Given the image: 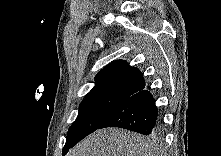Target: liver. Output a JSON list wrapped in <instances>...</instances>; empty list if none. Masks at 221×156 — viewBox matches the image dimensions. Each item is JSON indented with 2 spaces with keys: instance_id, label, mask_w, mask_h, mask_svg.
Returning a JSON list of instances; mask_svg holds the SVG:
<instances>
[{
  "instance_id": "liver-1",
  "label": "liver",
  "mask_w": 221,
  "mask_h": 156,
  "mask_svg": "<svg viewBox=\"0 0 221 156\" xmlns=\"http://www.w3.org/2000/svg\"><path fill=\"white\" fill-rule=\"evenodd\" d=\"M160 148L153 140L132 131L108 128L89 135L67 156H159Z\"/></svg>"
}]
</instances>
